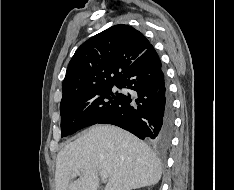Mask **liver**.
I'll list each match as a JSON object with an SVG mask.
<instances>
[{
    "instance_id": "obj_1",
    "label": "liver",
    "mask_w": 234,
    "mask_h": 190,
    "mask_svg": "<svg viewBox=\"0 0 234 190\" xmlns=\"http://www.w3.org/2000/svg\"><path fill=\"white\" fill-rule=\"evenodd\" d=\"M75 171L79 178L72 181ZM105 171L104 190H132L155 185L162 169L143 141L111 125H96L67 144L57 155L56 190H98V173Z\"/></svg>"
}]
</instances>
